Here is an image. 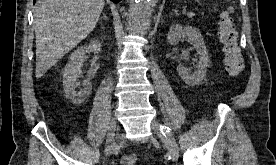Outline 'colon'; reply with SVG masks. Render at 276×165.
<instances>
[{
	"label": "colon",
	"instance_id": "obj_1",
	"mask_svg": "<svg viewBox=\"0 0 276 165\" xmlns=\"http://www.w3.org/2000/svg\"><path fill=\"white\" fill-rule=\"evenodd\" d=\"M219 39L224 54L226 71L231 76H238L243 70V59L238 44V33L232 17L223 13L219 23ZM122 165H135L137 157L126 154L121 159Z\"/></svg>",
	"mask_w": 276,
	"mask_h": 165
}]
</instances>
